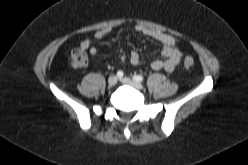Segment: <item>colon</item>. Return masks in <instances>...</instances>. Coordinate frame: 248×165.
I'll return each mask as SVG.
<instances>
[{
  "mask_svg": "<svg viewBox=\"0 0 248 165\" xmlns=\"http://www.w3.org/2000/svg\"><path fill=\"white\" fill-rule=\"evenodd\" d=\"M69 62L71 66L74 68H82L84 67L87 62V54L84 49L81 47L75 48L71 51ZM183 65L185 68L190 69L194 66V60L191 57H186L183 61Z\"/></svg>",
  "mask_w": 248,
  "mask_h": 165,
  "instance_id": "1",
  "label": "colon"
}]
</instances>
